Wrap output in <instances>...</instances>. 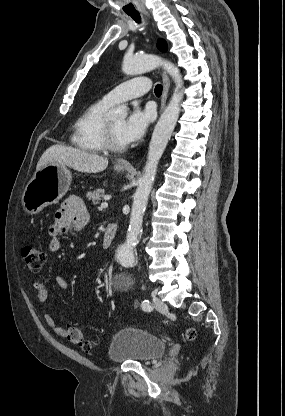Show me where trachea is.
<instances>
[{
	"mask_svg": "<svg viewBox=\"0 0 285 416\" xmlns=\"http://www.w3.org/2000/svg\"><path fill=\"white\" fill-rule=\"evenodd\" d=\"M128 15H129L130 17H132V18H133V20H134L135 22H137L138 24L141 22V17H140V14H139V13H131V14H128ZM162 90H163L162 85H160V84L156 85V87H155V89H154L155 95H156V96H161V94H162Z\"/></svg>",
	"mask_w": 285,
	"mask_h": 416,
	"instance_id": "trachea-1",
	"label": "trachea"
}]
</instances>
